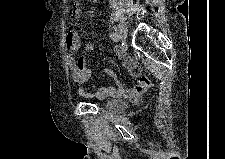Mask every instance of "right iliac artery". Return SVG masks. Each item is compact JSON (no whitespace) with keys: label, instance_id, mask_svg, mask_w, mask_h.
<instances>
[{"label":"right iliac artery","instance_id":"82829eb1","mask_svg":"<svg viewBox=\"0 0 225 159\" xmlns=\"http://www.w3.org/2000/svg\"><path fill=\"white\" fill-rule=\"evenodd\" d=\"M109 37L114 42H118L119 41V35L116 32H111L109 34Z\"/></svg>","mask_w":225,"mask_h":159}]
</instances>
